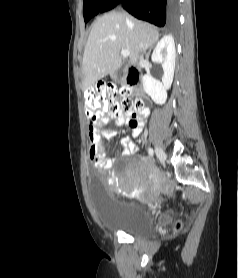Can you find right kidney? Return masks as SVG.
<instances>
[{
	"label": "right kidney",
	"instance_id": "1",
	"mask_svg": "<svg viewBox=\"0 0 238 278\" xmlns=\"http://www.w3.org/2000/svg\"><path fill=\"white\" fill-rule=\"evenodd\" d=\"M165 53V54H164ZM176 50L172 36L163 37L156 45L152 53V62L161 63L164 71L162 82L151 75L143 77L145 92L156 104H164L167 99V90L170 89L175 69Z\"/></svg>",
	"mask_w": 238,
	"mask_h": 278
}]
</instances>
